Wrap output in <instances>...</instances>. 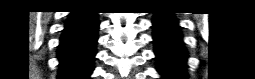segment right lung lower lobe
<instances>
[{
  "label": "right lung lower lobe",
  "mask_w": 255,
  "mask_h": 79,
  "mask_svg": "<svg viewBox=\"0 0 255 79\" xmlns=\"http://www.w3.org/2000/svg\"><path fill=\"white\" fill-rule=\"evenodd\" d=\"M96 15L80 10L69 16L58 49L60 79H88L92 73L99 27Z\"/></svg>",
  "instance_id": "1"
}]
</instances>
